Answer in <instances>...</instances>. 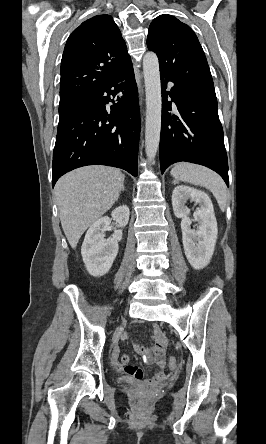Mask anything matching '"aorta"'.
Masks as SVG:
<instances>
[{
  "label": "aorta",
  "instance_id": "aorta-1",
  "mask_svg": "<svg viewBox=\"0 0 266 444\" xmlns=\"http://www.w3.org/2000/svg\"><path fill=\"white\" fill-rule=\"evenodd\" d=\"M143 73L146 92L145 152L152 161L159 148L162 111L159 60L154 52L144 55Z\"/></svg>",
  "mask_w": 266,
  "mask_h": 444
}]
</instances>
